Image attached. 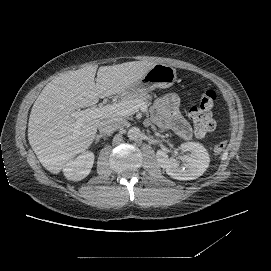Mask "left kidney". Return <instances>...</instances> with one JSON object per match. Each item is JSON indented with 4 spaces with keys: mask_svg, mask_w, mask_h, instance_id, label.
Listing matches in <instances>:
<instances>
[{
    "mask_svg": "<svg viewBox=\"0 0 271 271\" xmlns=\"http://www.w3.org/2000/svg\"><path fill=\"white\" fill-rule=\"evenodd\" d=\"M179 148L183 153L181 157L183 165L180 166V162L173 158L170 159L165 151L157 150L156 161L160 167L176 180L186 181L200 177L209 164V156L205 147L195 142H185L180 144Z\"/></svg>",
    "mask_w": 271,
    "mask_h": 271,
    "instance_id": "5707ae66",
    "label": "left kidney"
}]
</instances>
